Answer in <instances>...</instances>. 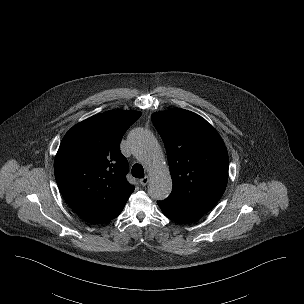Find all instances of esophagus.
Here are the masks:
<instances>
[{"label":"esophagus","instance_id":"obj_1","mask_svg":"<svg viewBox=\"0 0 304 304\" xmlns=\"http://www.w3.org/2000/svg\"><path fill=\"white\" fill-rule=\"evenodd\" d=\"M148 182H149V176L148 175H146L144 178H142L140 180V183H141L142 186L147 185Z\"/></svg>","mask_w":304,"mask_h":304}]
</instances>
